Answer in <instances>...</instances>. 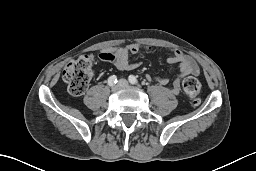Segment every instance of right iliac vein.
<instances>
[{
    "label": "right iliac vein",
    "mask_w": 256,
    "mask_h": 171,
    "mask_svg": "<svg viewBox=\"0 0 256 171\" xmlns=\"http://www.w3.org/2000/svg\"><path fill=\"white\" fill-rule=\"evenodd\" d=\"M118 88H119V84H116V85H112V86H111L112 91H115V90H117Z\"/></svg>",
    "instance_id": "obj_1"
}]
</instances>
